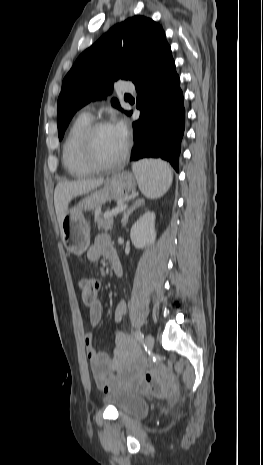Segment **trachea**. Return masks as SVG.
<instances>
[{
	"mask_svg": "<svg viewBox=\"0 0 263 465\" xmlns=\"http://www.w3.org/2000/svg\"><path fill=\"white\" fill-rule=\"evenodd\" d=\"M126 97H130V95H125Z\"/></svg>",
	"mask_w": 263,
	"mask_h": 465,
	"instance_id": "3493384b",
	"label": "trachea"
}]
</instances>
